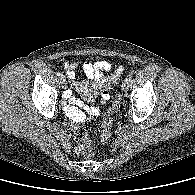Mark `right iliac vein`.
Wrapping results in <instances>:
<instances>
[{
    "instance_id": "63e3f726",
    "label": "right iliac vein",
    "mask_w": 195,
    "mask_h": 195,
    "mask_svg": "<svg viewBox=\"0 0 195 195\" xmlns=\"http://www.w3.org/2000/svg\"><path fill=\"white\" fill-rule=\"evenodd\" d=\"M60 84L62 88L66 87L67 82L64 76L60 77Z\"/></svg>"
}]
</instances>
